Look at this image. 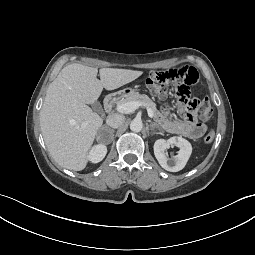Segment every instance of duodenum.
<instances>
[{
  "label": "duodenum",
  "mask_w": 255,
  "mask_h": 255,
  "mask_svg": "<svg viewBox=\"0 0 255 255\" xmlns=\"http://www.w3.org/2000/svg\"><path fill=\"white\" fill-rule=\"evenodd\" d=\"M124 96L123 92H116L108 95L104 100V108L107 112L111 111L115 103Z\"/></svg>",
  "instance_id": "410a0bca"
}]
</instances>
